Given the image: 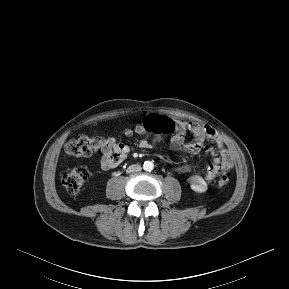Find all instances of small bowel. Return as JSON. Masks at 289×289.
<instances>
[{
	"instance_id": "1",
	"label": "small bowel",
	"mask_w": 289,
	"mask_h": 289,
	"mask_svg": "<svg viewBox=\"0 0 289 289\" xmlns=\"http://www.w3.org/2000/svg\"><path fill=\"white\" fill-rule=\"evenodd\" d=\"M178 121L181 127L178 133L172 135L170 146L175 151L197 154L205 150L206 153L212 155L213 162L206 172V181H212L221 172L232 168L233 158L231 153L227 150L219 135L210 126L192 121ZM134 133L148 134L142 131L140 123L133 128H126L124 130V135L127 137L132 136ZM186 135L192 136V140L188 143L185 142ZM150 145L151 142L148 139L141 143V146L144 148H148ZM129 152V146L122 143L118 137H108L104 140L100 149L99 163L101 168L104 170L116 168L127 158ZM189 169V165H181L176 168L180 173L187 172Z\"/></svg>"
}]
</instances>
